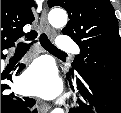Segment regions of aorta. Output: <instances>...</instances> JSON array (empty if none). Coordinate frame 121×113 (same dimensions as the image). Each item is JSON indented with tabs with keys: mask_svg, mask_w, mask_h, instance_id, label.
Segmentation results:
<instances>
[{
	"mask_svg": "<svg viewBox=\"0 0 121 113\" xmlns=\"http://www.w3.org/2000/svg\"><path fill=\"white\" fill-rule=\"evenodd\" d=\"M67 13L63 9H52L48 14V20L51 26L55 28L64 27L67 24ZM52 113H64L63 109L55 108Z\"/></svg>",
	"mask_w": 121,
	"mask_h": 113,
	"instance_id": "762f6f07",
	"label": "aorta"
}]
</instances>
